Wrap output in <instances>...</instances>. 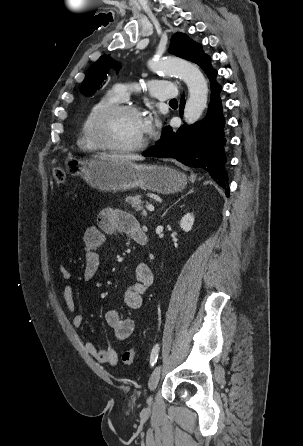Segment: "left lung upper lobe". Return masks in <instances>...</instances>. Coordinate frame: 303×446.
I'll use <instances>...</instances> for the list:
<instances>
[{
    "instance_id": "5c2ea615",
    "label": "left lung upper lobe",
    "mask_w": 303,
    "mask_h": 446,
    "mask_svg": "<svg viewBox=\"0 0 303 446\" xmlns=\"http://www.w3.org/2000/svg\"><path fill=\"white\" fill-rule=\"evenodd\" d=\"M169 52L178 57L198 64L200 67L209 58L204 54L200 44L191 40L186 34L178 32L171 38ZM119 66L108 55L101 56L87 71L81 84L80 92L84 95H92L102 85L108 74V68Z\"/></svg>"
}]
</instances>
